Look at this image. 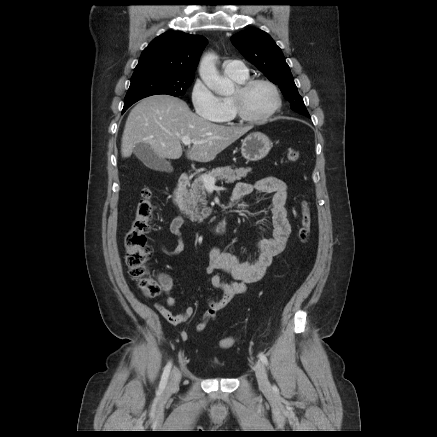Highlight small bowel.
Listing matches in <instances>:
<instances>
[{"label":"small bowel","instance_id":"c3829d8e","mask_svg":"<svg viewBox=\"0 0 437 437\" xmlns=\"http://www.w3.org/2000/svg\"><path fill=\"white\" fill-rule=\"evenodd\" d=\"M253 191L271 195L270 209L274 227L273 236L258 241L257 255L251 260H241L238 256L222 252L218 248L211 249L206 272L211 275V285L220 290L223 295L220 300H209L208 310L196 326L198 332L203 331L207 322L215 319L218 312L225 309L234 297L245 293L249 284L259 281L271 266L274 257L280 254L286 246L291 232L289 215L286 209L287 185L276 177H265L255 184L239 182L234 189L233 199H242ZM183 223L180 216H175L172 219L169 230L177 238V243L173 249L162 246L164 253L174 256L183 251L184 242L181 234ZM221 274L229 275L232 281H224ZM161 282L163 290L167 294L166 305L172 307L176 303L175 298L170 294L172 280L168 276H162ZM156 308L160 315L172 325L182 324L195 314L193 307H187L180 314H173L167 307L160 304ZM180 338L186 341L189 335L186 331H181Z\"/></svg>","mask_w":437,"mask_h":437}]
</instances>
